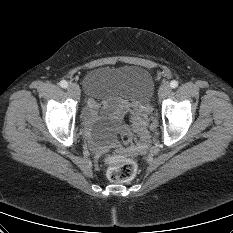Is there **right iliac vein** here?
Returning <instances> with one entry per match:
<instances>
[{
  "instance_id": "right-iliac-vein-1",
  "label": "right iliac vein",
  "mask_w": 233,
  "mask_h": 233,
  "mask_svg": "<svg viewBox=\"0 0 233 233\" xmlns=\"http://www.w3.org/2000/svg\"><path fill=\"white\" fill-rule=\"evenodd\" d=\"M67 90L75 98L79 97V95H80V88L75 83H70L68 85V89Z\"/></svg>"
}]
</instances>
